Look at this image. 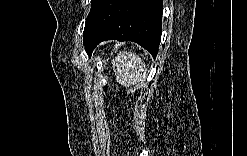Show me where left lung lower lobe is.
I'll list each match as a JSON object with an SVG mask.
<instances>
[{
	"label": "left lung lower lobe",
	"instance_id": "0a47b994",
	"mask_svg": "<svg viewBox=\"0 0 247 156\" xmlns=\"http://www.w3.org/2000/svg\"><path fill=\"white\" fill-rule=\"evenodd\" d=\"M162 0H104L84 40L90 56L104 40L133 41L155 58L162 32Z\"/></svg>",
	"mask_w": 247,
	"mask_h": 156
}]
</instances>
